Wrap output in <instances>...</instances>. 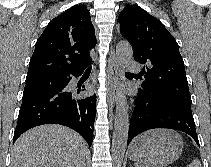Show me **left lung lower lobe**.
<instances>
[{
	"mask_svg": "<svg viewBox=\"0 0 211 167\" xmlns=\"http://www.w3.org/2000/svg\"><path fill=\"white\" fill-rule=\"evenodd\" d=\"M154 128H168L189 134L199 145L191 107L138 90L130 119L128 142Z\"/></svg>",
	"mask_w": 211,
	"mask_h": 167,
	"instance_id": "obj_1",
	"label": "left lung lower lobe"
}]
</instances>
